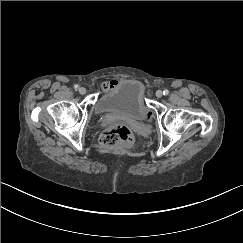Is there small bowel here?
<instances>
[{
  "label": "small bowel",
  "mask_w": 243,
  "mask_h": 243,
  "mask_svg": "<svg viewBox=\"0 0 243 243\" xmlns=\"http://www.w3.org/2000/svg\"><path fill=\"white\" fill-rule=\"evenodd\" d=\"M116 84H117L116 81H109L103 84V88L108 90L113 88Z\"/></svg>",
  "instance_id": "small-bowel-1"
}]
</instances>
